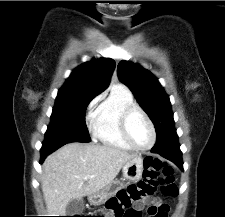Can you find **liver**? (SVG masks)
<instances>
[{"label":"liver","mask_w":225,"mask_h":217,"mask_svg":"<svg viewBox=\"0 0 225 217\" xmlns=\"http://www.w3.org/2000/svg\"><path fill=\"white\" fill-rule=\"evenodd\" d=\"M136 156L110 146L77 142L50 154L42 166V192L48 213L66 216L70 200L100 191Z\"/></svg>","instance_id":"liver-1"}]
</instances>
